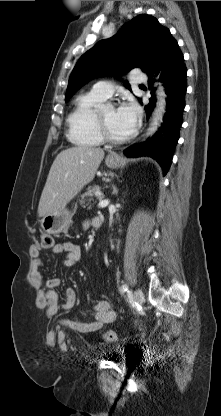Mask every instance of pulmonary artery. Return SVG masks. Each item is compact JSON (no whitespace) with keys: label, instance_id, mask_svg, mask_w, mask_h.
<instances>
[{"label":"pulmonary artery","instance_id":"pulmonary-artery-1","mask_svg":"<svg viewBox=\"0 0 221 416\" xmlns=\"http://www.w3.org/2000/svg\"><path fill=\"white\" fill-rule=\"evenodd\" d=\"M130 76L132 82L135 84L144 83L147 81V76L143 74L139 69L130 70ZM92 91L104 99H107L113 94L114 85L109 81H100L93 85Z\"/></svg>","mask_w":221,"mask_h":416}]
</instances>
